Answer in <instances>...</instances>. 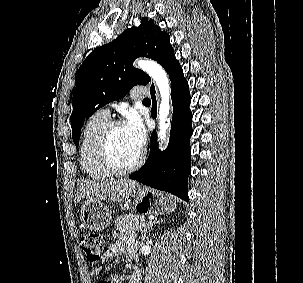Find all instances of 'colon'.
I'll list each match as a JSON object with an SVG mask.
<instances>
[{
    "mask_svg": "<svg viewBox=\"0 0 303 283\" xmlns=\"http://www.w3.org/2000/svg\"><path fill=\"white\" fill-rule=\"evenodd\" d=\"M80 247L88 261L97 262L105 249V239L93 233H85L80 237ZM98 283H115V278H102Z\"/></svg>",
    "mask_w": 303,
    "mask_h": 283,
    "instance_id": "colon-1",
    "label": "colon"
}]
</instances>
